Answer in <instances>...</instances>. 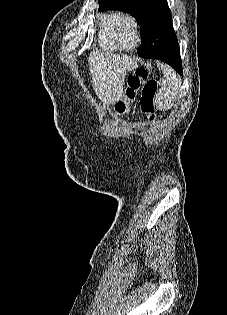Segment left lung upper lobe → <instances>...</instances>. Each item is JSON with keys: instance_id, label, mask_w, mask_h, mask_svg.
Returning <instances> with one entry per match:
<instances>
[{"instance_id": "5c2ea615", "label": "left lung upper lobe", "mask_w": 227, "mask_h": 315, "mask_svg": "<svg viewBox=\"0 0 227 315\" xmlns=\"http://www.w3.org/2000/svg\"><path fill=\"white\" fill-rule=\"evenodd\" d=\"M99 9L131 14L140 25L142 39L152 38L161 51L179 49L167 0H98ZM142 41V40H141Z\"/></svg>"}]
</instances>
